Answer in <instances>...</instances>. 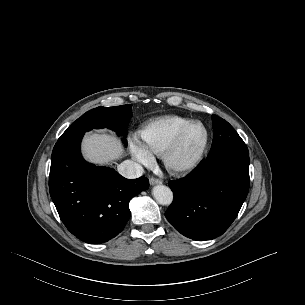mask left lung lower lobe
Returning <instances> with one entry per match:
<instances>
[{
  "mask_svg": "<svg viewBox=\"0 0 305 305\" xmlns=\"http://www.w3.org/2000/svg\"><path fill=\"white\" fill-rule=\"evenodd\" d=\"M174 200L168 221L194 240L214 239L237 217L249 190V153L228 151L202 160L189 175L168 183Z\"/></svg>",
  "mask_w": 305,
  "mask_h": 305,
  "instance_id": "left-lung-lower-lobe-1",
  "label": "left lung lower lobe"
}]
</instances>
